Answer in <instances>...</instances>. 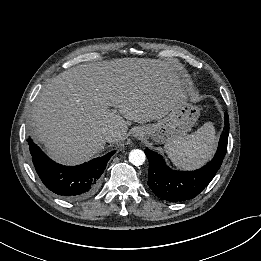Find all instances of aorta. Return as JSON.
Segmentation results:
<instances>
[{
    "instance_id": "aorta-1",
    "label": "aorta",
    "mask_w": 261,
    "mask_h": 261,
    "mask_svg": "<svg viewBox=\"0 0 261 261\" xmlns=\"http://www.w3.org/2000/svg\"><path fill=\"white\" fill-rule=\"evenodd\" d=\"M146 156L140 149H134L129 153V161L135 166H140L145 162Z\"/></svg>"
}]
</instances>
